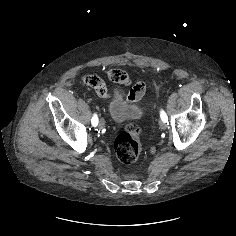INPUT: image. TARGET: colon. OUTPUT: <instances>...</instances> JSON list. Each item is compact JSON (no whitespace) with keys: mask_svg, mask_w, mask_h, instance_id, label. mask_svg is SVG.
<instances>
[{"mask_svg":"<svg viewBox=\"0 0 236 236\" xmlns=\"http://www.w3.org/2000/svg\"><path fill=\"white\" fill-rule=\"evenodd\" d=\"M141 88L144 90L142 84L135 86L130 91L129 97L132 100L140 98L141 96H138ZM114 150L118 159L123 163L130 164L137 160L142 150V143L140 129L136 124H128L125 130L117 135L114 141Z\"/></svg>","mask_w":236,"mask_h":236,"instance_id":"colon-1","label":"colon"}]
</instances>
